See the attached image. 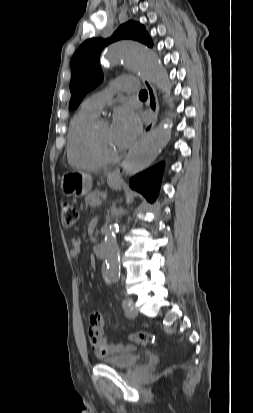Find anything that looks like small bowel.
<instances>
[{
    "label": "small bowel",
    "instance_id": "small-bowel-1",
    "mask_svg": "<svg viewBox=\"0 0 253 413\" xmlns=\"http://www.w3.org/2000/svg\"><path fill=\"white\" fill-rule=\"evenodd\" d=\"M81 253L80 244L78 240L74 241V246L71 250L73 257H78ZM104 321L101 315L94 313L89 318V325L87 328V337L90 346L97 354L107 356L122 349L120 345L110 344L107 338L103 335Z\"/></svg>",
    "mask_w": 253,
    "mask_h": 413
}]
</instances>
